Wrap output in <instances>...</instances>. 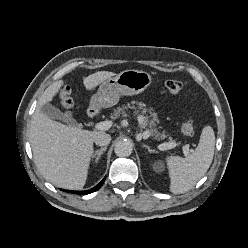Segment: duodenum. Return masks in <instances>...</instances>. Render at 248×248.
Instances as JSON below:
<instances>
[{
    "mask_svg": "<svg viewBox=\"0 0 248 248\" xmlns=\"http://www.w3.org/2000/svg\"><path fill=\"white\" fill-rule=\"evenodd\" d=\"M93 115H94L93 111L90 110V111L88 112V116H89V117H92Z\"/></svg>",
    "mask_w": 248,
    "mask_h": 248,
    "instance_id": "1",
    "label": "duodenum"
}]
</instances>
